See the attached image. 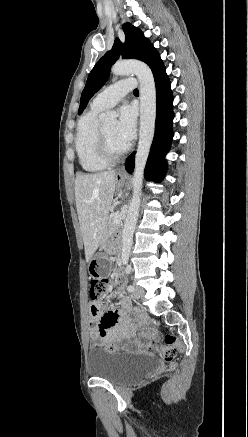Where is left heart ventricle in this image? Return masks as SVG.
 <instances>
[{
	"label": "left heart ventricle",
	"instance_id": "left-heart-ventricle-1",
	"mask_svg": "<svg viewBox=\"0 0 248 437\" xmlns=\"http://www.w3.org/2000/svg\"><path fill=\"white\" fill-rule=\"evenodd\" d=\"M103 128H104V132L106 134V137L108 139L109 146L113 151H119L126 146V144L119 141L118 138L116 137V134H115L116 122L115 121L104 124Z\"/></svg>",
	"mask_w": 248,
	"mask_h": 437
}]
</instances>
